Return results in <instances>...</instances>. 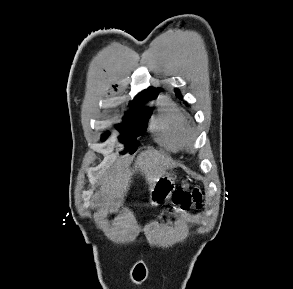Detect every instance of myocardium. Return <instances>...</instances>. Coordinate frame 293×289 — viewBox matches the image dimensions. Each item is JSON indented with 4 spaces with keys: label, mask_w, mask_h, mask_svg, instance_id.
<instances>
[{
    "label": "myocardium",
    "mask_w": 293,
    "mask_h": 289,
    "mask_svg": "<svg viewBox=\"0 0 293 289\" xmlns=\"http://www.w3.org/2000/svg\"><path fill=\"white\" fill-rule=\"evenodd\" d=\"M195 136L196 134L192 130H190L186 135L185 145H192L195 140Z\"/></svg>",
    "instance_id": "1"
}]
</instances>
